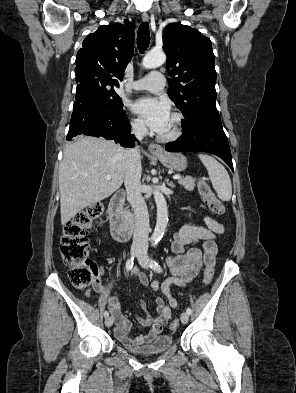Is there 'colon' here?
I'll return each mask as SVG.
<instances>
[{"mask_svg":"<svg viewBox=\"0 0 296 393\" xmlns=\"http://www.w3.org/2000/svg\"><path fill=\"white\" fill-rule=\"evenodd\" d=\"M198 190L205 204L216 215L225 212L223 203L215 196L208 183L200 178ZM103 212L101 203H93L84 210L78 212L69 220L63 228L60 243V253L63 262L69 268V278L72 284L78 289H87L95 282L97 267L89 258V245L87 235L93 222L97 220ZM214 276V268L207 265L203 275V284L211 283ZM178 327V320L170 324L171 330Z\"/></svg>","mask_w":296,"mask_h":393,"instance_id":"obj_1","label":"colon"}]
</instances>
